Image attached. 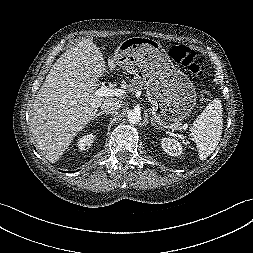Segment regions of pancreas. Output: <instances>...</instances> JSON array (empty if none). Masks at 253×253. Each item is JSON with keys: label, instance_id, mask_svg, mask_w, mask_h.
<instances>
[{"label": "pancreas", "instance_id": "cf45deb5", "mask_svg": "<svg viewBox=\"0 0 253 253\" xmlns=\"http://www.w3.org/2000/svg\"><path fill=\"white\" fill-rule=\"evenodd\" d=\"M142 85V82L138 81L137 79H134L129 82L128 87L130 88V90L135 91L140 89Z\"/></svg>", "mask_w": 253, "mask_h": 253}]
</instances>
